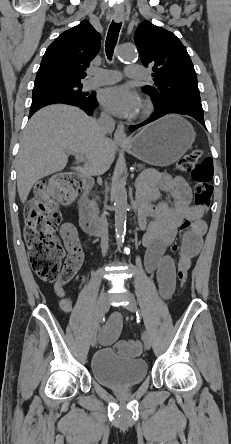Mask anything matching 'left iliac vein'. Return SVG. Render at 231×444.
<instances>
[{
  "instance_id": "obj_1",
  "label": "left iliac vein",
  "mask_w": 231,
  "mask_h": 444,
  "mask_svg": "<svg viewBox=\"0 0 231 444\" xmlns=\"http://www.w3.org/2000/svg\"><path fill=\"white\" fill-rule=\"evenodd\" d=\"M126 297H127V301H128V303L126 305V309L128 311H130L131 313H135L136 310H137V306H136V303L134 301V298L132 297L130 292L126 293ZM142 340H143V343H144V347L147 350H149L151 348V338H150V336H149L147 331L143 332Z\"/></svg>"
}]
</instances>
